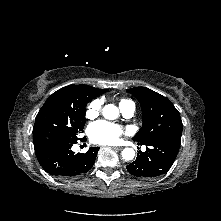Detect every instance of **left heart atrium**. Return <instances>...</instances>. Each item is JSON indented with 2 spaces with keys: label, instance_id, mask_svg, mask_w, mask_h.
<instances>
[{
  "label": "left heart atrium",
  "instance_id": "39dd6f15",
  "mask_svg": "<svg viewBox=\"0 0 221 221\" xmlns=\"http://www.w3.org/2000/svg\"><path fill=\"white\" fill-rule=\"evenodd\" d=\"M88 133L92 142L107 145L116 143L123 130L117 124L101 120L91 124Z\"/></svg>",
  "mask_w": 221,
  "mask_h": 221
}]
</instances>
